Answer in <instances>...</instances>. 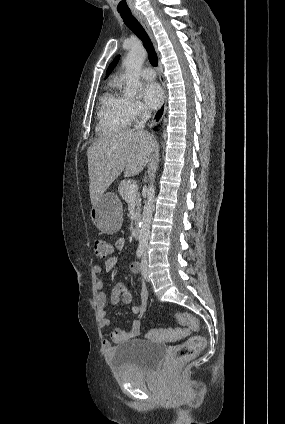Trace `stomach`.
<instances>
[{
    "instance_id": "0dacf381",
    "label": "stomach",
    "mask_w": 285,
    "mask_h": 424,
    "mask_svg": "<svg viewBox=\"0 0 285 424\" xmlns=\"http://www.w3.org/2000/svg\"><path fill=\"white\" fill-rule=\"evenodd\" d=\"M90 217L94 225L103 233L117 232L123 222V206L115 193H105L92 205Z\"/></svg>"
}]
</instances>
